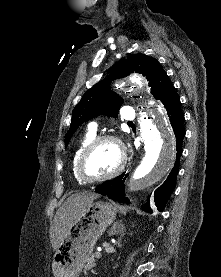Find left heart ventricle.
Returning <instances> with one entry per match:
<instances>
[{"label": "left heart ventricle", "instance_id": "left-heart-ventricle-1", "mask_svg": "<svg viewBox=\"0 0 221 277\" xmlns=\"http://www.w3.org/2000/svg\"><path fill=\"white\" fill-rule=\"evenodd\" d=\"M119 161L118 147L112 142H104L87 156L83 169L89 177H100L113 171Z\"/></svg>", "mask_w": 221, "mask_h": 277}]
</instances>
